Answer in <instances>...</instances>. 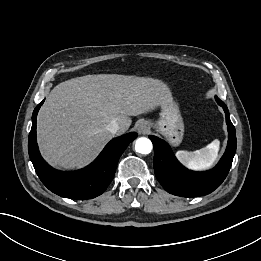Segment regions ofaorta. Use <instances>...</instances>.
<instances>
[{
	"label": "aorta",
	"mask_w": 261,
	"mask_h": 261,
	"mask_svg": "<svg viewBox=\"0 0 261 261\" xmlns=\"http://www.w3.org/2000/svg\"><path fill=\"white\" fill-rule=\"evenodd\" d=\"M152 142L145 137H141L135 142V150L141 154H149L152 151Z\"/></svg>",
	"instance_id": "1"
}]
</instances>
